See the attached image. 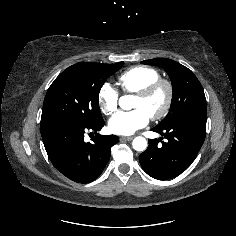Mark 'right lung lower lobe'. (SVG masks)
Wrapping results in <instances>:
<instances>
[{"mask_svg":"<svg viewBox=\"0 0 236 236\" xmlns=\"http://www.w3.org/2000/svg\"><path fill=\"white\" fill-rule=\"evenodd\" d=\"M103 126V120L92 125L61 120L41 127L44 146L54 167L76 182L95 180L110 159V148L119 139L115 135L97 134ZM87 131L95 134L93 143L84 141Z\"/></svg>","mask_w":236,"mask_h":236,"instance_id":"98d812e1","label":"right lung lower lobe"}]
</instances>
